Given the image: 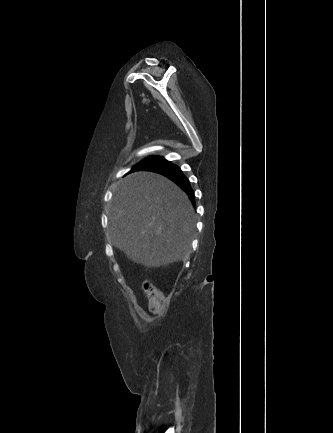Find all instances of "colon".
Listing matches in <instances>:
<instances>
[{
	"label": "colon",
	"instance_id": "colon-1",
	"mask_svg": "<svg viewBox=\"0 0 333 433\" xmlns=\"http://www.w3.org/2000/svg\"><path fill=\"white\" fill-rule=\"evenodd\" d=\"M142 287L149 298L151 311L155 314L159 313L164 306L162 293L150 281H145Z\"/></svg>",
	"mask_w": 333,
	"mask_h": 433
}]
</instances>
